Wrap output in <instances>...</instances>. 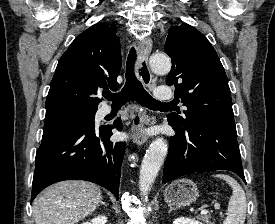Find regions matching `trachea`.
Returning a JSON list of instances; mask_svg holds the SVG:
<instances>
[{"label":"trachea","mask_w":275,"mask_h":224,"mask_svg":"<svg viewBox=\"0 0 275 224\" xmlns=\"http://www.w3.org/2000/svg\"><path fill=\"white\" fill-rule=\"evenodd\" d=\"M137 59L136 50L134 47L130 49L125 78L126 82L123 89L118 93L107 92L104 97L112 101L113 106H123L132 99L142 106L148 108L167 106L171 103H162L155 100L142 86L141 82L136 78L134 72V65Z\"/></svg>","instance_id":"trachea-1"}]
</instances>
